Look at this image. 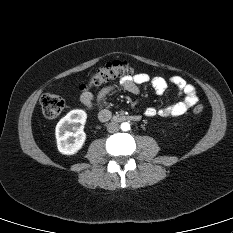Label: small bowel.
I'll return each instance as SVG.
<instances>
[{
  "label": "small bowel",
  "instance_id": "c3829d8e",
  "mask_svg": "<svg viewBox=\"0 0 233 233\" xmlns=\"http://www.w3.org/2000/svg\"><path fill=\"white\" fill-rule=\"evenodd\" d=\"M145 84H150L157 94H163L168 85L173 84L177 88L179 94L183 96L181 101L160 109L153 107L146 108V116L152 117L158 115L161 117H177L186 113L199 100L195 87L181 76L174 75L164 78L160 76L150 77L146 73H138L133 76L122 78L117 85H110L102 88L96 96V101L102 103L117 87H121L132 94L139 95V87ZM79 102L83 107L91 109L94 105V96L91 92L84 91L79 97ZM103 116H111V111L109 109H102L99 112V118L102 120Z\"/></svg>",
  "mask_w": 233,
  "mask_h": 233
}]
</instances>
